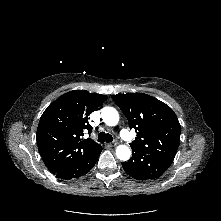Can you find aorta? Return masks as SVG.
<instances>
[{
  "label": "aorta",
  "instance_id": "aorta-1",
  "mask_svg": "<svg viewBox=\"0 0 221 221\" xmlns=\"http://www.w3.org/2000/svg\"><path fill=\"white\" fill-rule=\"evenodd\" d=\"M103 122L108 126H115L119 122V114L113 107H104L101 110ZM116 156L119 160L127 161L131 156V150L126 145H119L116 148Z\"/></svg>",
  "mask_w": 221,
  "mask_h": 221
}]
</instances>
